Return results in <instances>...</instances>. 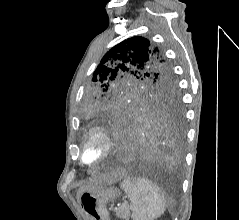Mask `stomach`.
<instances>
[{"instance_id": "0dacf381", "label": "stomach", "mask_w": 239, "mask_h": 220, "mask_svg": "<svg viewBox=\"0 0 239 220\" xmlns=\"http://www.w3.org/2000/svg\"><path fill=\"white\" fill-rule=\"evenodd\" d=\"M119 195V190L114 187L85 191L80 196L81 210L87 220H106V217L107 220H116L119 212H111L115 210V205H106V203Z\"/></svg>"}]
</instances>
